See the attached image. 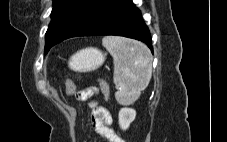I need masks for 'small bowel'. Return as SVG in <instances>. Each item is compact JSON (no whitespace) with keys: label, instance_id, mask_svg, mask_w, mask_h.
Returning <instances> with one entry per match:
<instances>
[{"label":"small bowel","instance_id":"small-bowel-1","mask_svg":"<svg viewBox=\"0 0 227 142\" xmlns=\"http://www.w3.org/2000/svg\"><path fill=\"white\" fill-rule=\"evenodd\" d=\"M98 94L99 89L95 86H90L76 92L75 98L79 101L94 98L90 103V121L93 128L108 142H125L124 139L110 128V125L112 124V116L106 108L98 105Z\"/></svg>","mask_w":227,"mask_h":142}]
</instances>
